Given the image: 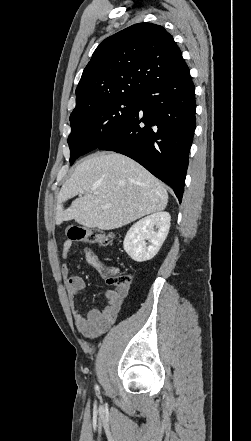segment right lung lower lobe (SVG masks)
Masks as SVG:
<instances>
[{
    "mask_svg": "<svg viewBox=\"0 0 251 441\" xmlns=\"http://www.w3.org/2000/svg\"><path fill=\"white\" fill-rule=\"evenodd\" d=\"M188 66L148 87L126 124L97 149L124 154L171 186L182 200L196 127Z\"/></svg>",
    "mask_w": 251,
    "mask_h": 441,
    "instance_id": "obj_1",
    "label": "right lung lower lobe"
}]
</instances>
